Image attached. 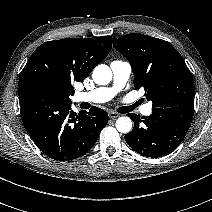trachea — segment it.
I'll use <instances>...</instances> for the list:
<instances>
[{"label": "trachea", "instance_id": "3493384b", "mask_svg": "<svg viewBox=\"0 0 212 212\" xmlns=\"http://www.w3.org/2000/svg\"><path fill=\"white\" fill-rule=\"evenodd\" d=\"M140 103L139 102H136L134 105H132V106H124V107H120L119 109H118V111L120 112V113H129V112H131L136 106H138Z\"/></svg>", "mask_w": 212, "mask_h": 212}]
</instances>
